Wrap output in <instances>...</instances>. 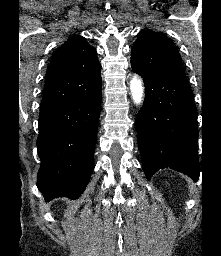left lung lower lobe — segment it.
I'll return each mask as SVG.
<instances>
[{"instance_id": "left-lung-lower-lobe-1", "label": "left lung lower lobe", "mask_w": 221, "mask_h": 256, "mask_svg": "<svg viewBox=\"0 0 221 256\" xmlns=\"http://www.w3.org/2000/svg\"><path fill=\"white\" fill-rule=\"evenodd\" d=\"M145 101L136 117L137 141L147 179L163 168L193 180L198 162L197 109L186 78L141 76Z\"/></svg>"}]
</instances>
